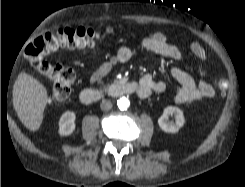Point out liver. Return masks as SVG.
I'll list each match as a JSON object with an SVG mask.
<instances>
[{
    "mask_svg": "<svg viewBox=\"0 0 245 187\" xmlns=\"http://www.w3.org/2000/svg\"><path fill=\"white\" fill-rule=\"evenodd\" d=\"M48 93L42 83L20 73L13 87V106L20 121L30 131H37L43 121Z\"/></svg>",
    "mask_w": 245,
    "mask_h": 187,
    "instance_id": "obj_1",
    "label": "liver"
}]
</instances>
